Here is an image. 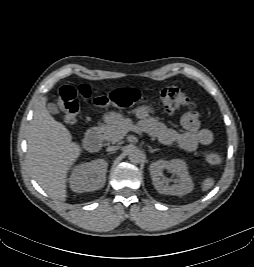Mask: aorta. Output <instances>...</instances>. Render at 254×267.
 Segmentation results:
<instances>
[{
    "label": "aorta",
    "instance_id": "762f6f07",
    "mask_svg": "<svg viewBox=\"0 0 254 267\" xmlns=\"http://www.w3.org/2000/svg\"><path fill=\"white\" fill-rule=\"evenodd\" d=\"M144 154L135 146H130L128 148V159L131 163L138 164L143 161Z\"/></svg>",
    "mask_w": 254,
    "mask_h": 267
}]
</instances>
